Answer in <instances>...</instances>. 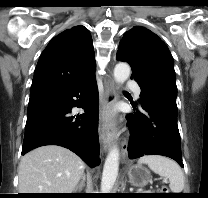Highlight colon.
<instances>
[{"label":"colon","instance_id":"5ec220e1","mask_svg":"<svg viewBox=\"0 0 208 198\" xmlns=\"http://www.w3.org/2000/svg\"><path fill=\"white\" fill-rule=\"evenodd\" d=\"M161 191H163V192H167V191H168V188L163 187V188L161 189Z\"/></svg>","mask_w":208,"mask_h":198}]
</instances>
